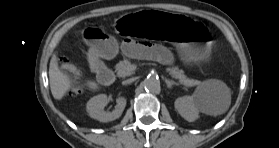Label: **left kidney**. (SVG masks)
Returning a JSON list of instances; mask_svg holds the SVG:
<instances>
[{"mask_svg": "<svg viewBox=\"0 0 279 148\" xmlns=\"http://www.w3.org/2000/svg\"><path fill=\"white\" fill-rule=\"evenodd\" d=\"M175 109L185 120L193 122L198 119L200 111H205V103L196 96H183L176 99Z\"/></svg>", "mask_w": 279, "mask_h": 148, "instance_id": "5707ae66", "label": "left kidney"}]
</instances>
